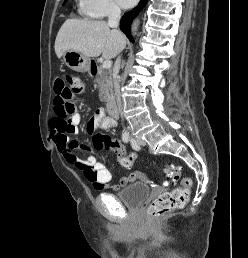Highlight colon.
I'll use <instances>...</instances> for the list:
<instances>
[{
  "mask_svg": "<svg viewBox=\"0 0 248 258\" xmlns=\"http://www.w3.org/2000/svg\"><path fill=\"white\" fill-rule=\"evenodd\" d=\"M70 85V92L74 95L84 94L86 91L85 83L79 77H70L68 79ZM74 112V106L68 102V99H62L59 102V106L56 109V115L52 119V124L64 131L69 132L72 129L70 115ZM96 142L99 147L113 148L117 151L118 160L123 166L124 170H131L134 162V155H128L127 145H121V141H113L107 136L98 134L96 136ZM166 182L165 185L175 184L180 178V166L174 162L166 163L162 168ZM86 178L95 176L92 170L85 171ZM192 181L189 177H185L182 180V187L177 188L172 192L163 193L153 200L147 207V211L150 217L157 218L168 214L169 212L181 209L185 206L190 195V187Z\"/></svg>",
  "mask_w": 248,
  "mask_h": 258,
  "instance_id": "1",
  "label": "colon"
}]
</instances>
